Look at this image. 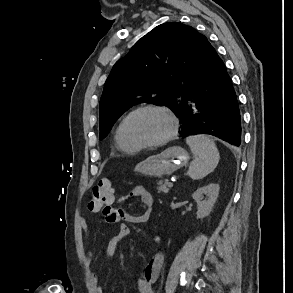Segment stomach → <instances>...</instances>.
Segmentation results:
<instances>
[{"label": "stomach", "mask_w": 293, "mask_h": 293, "mask_svg": "<svg viewBox=\"0 0 293 293\" xmlns=\"http://www.w3.org/2000/svg\"><path fill=\"white\" fill-rule=\"evenodd\" d=\"M189 160L188 153L179 146L169 147L160 154L152 155L138 163L135 171L152 177L169 176L185 166Z\"/></svg>", "instance_id": "obj_1"}]
</instances>
